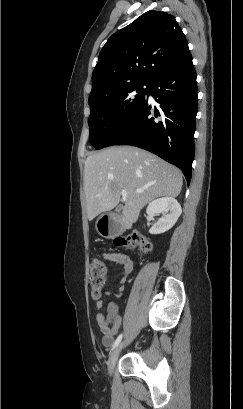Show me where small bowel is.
I'll return each instance as SVG.
<instances>
[{"label": "small bowel", "instance_id": "c3829d8e", "mask_svg": "<svg viewBox=\"0 0 243 409\" xmlns=\"http://www.w3.org/2000/svg\"><path fill=\"white\" fill-rule=\"evenodd\" d=\"M102 258H104L105 260L115 263L117 265H119V267L121 268V278L119 280L120 283V287L115 291L112 292L110 294H112L113 296L116 297H120L124 291V283L126 282L127 276L132 272L133 270V263L131 261V259L123 254V253H118V252H106L102 254ZM108 294V293H107ZM103 304H104V298H99L97 300V312H96V320L97 323L101 329V331L103 332V336H102V344L105 347H109L113 341H114V337L115 334L117 333L120 325H121V319L118 316V312H117V307L116 305H114L113 303L109 304V311H110V317L113 321V328L112 329H106L105 325H104V319H103V315L101 313V309L103 308Z\"/></svg>", "mask_w": 243, "mask_h": 409}]
</instances>
